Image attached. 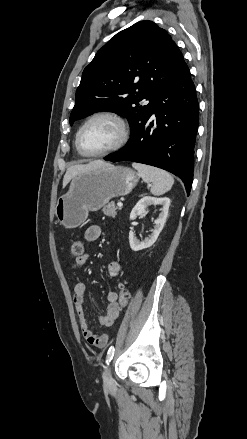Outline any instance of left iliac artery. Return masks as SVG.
<instances>
[{
  "mask_svg": "<svg viewBox=\"0 0 247 439\" xmlns=\"http://www.w3.org/2000/svg\"><path fill=\"white\" fill-rule=\"evenodd\" d=\"M114 351H115L114 346H111L109 348V350H108V353H107V358H106V363L107 364H109L110 361L112 360V358L114 356Z\"/></svg>",
  "mask_w": 247,
  "mask_h": 439,
  "instance_id": "left-iliac-artery-1",
  "label": "left iliac artery"
}]
</instances>
